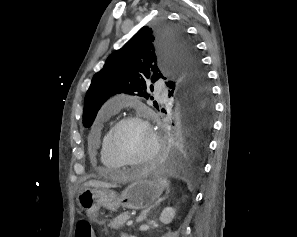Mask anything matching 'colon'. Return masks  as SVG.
Wrapping results in <instances>:
<instances>
[{
	"instance_id": "1",
	"label": "colon",
	"mask_w": 297,
	"mask_h": 237,
	"mask_svg": "<svg viewBox=\"0 0 297 237\" xmlns=\"http://www.w3.org/2000/svg\"><path fill=\"white\" fill-rule=\"evenodd\" d=\"M75 237H94L90 223L86 220H79L76 224Z\"/></svg>"
}]
</instances>
